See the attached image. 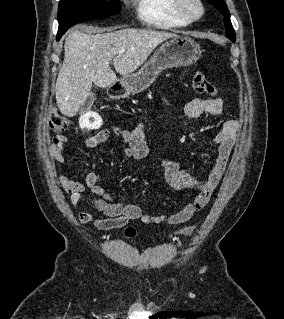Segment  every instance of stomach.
Returning a JSON list of instances; mask_svg holds the SVG:
<instances>
[{"instance_id": "stomach-1", "label": "stomach", "mask_w": 284, "mask_h": 319, "mask_svg": "<svg viewBox=\"0 0 284 319\" xmlns=\"http://www.w3.org/2000/svg\"><path fill=\"white\" fill-rule=\"evenodd\" d=\"M201 55L200 46L192 38L176 36L162 44L141 69L120 80L116 91L123 89L126 94L140 93L146 90L166 69L177 66H188L195 63Z\"/></svg>"}]
</instances>
